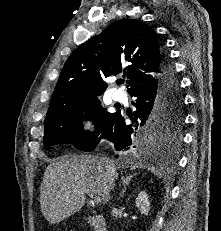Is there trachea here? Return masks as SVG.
I'll use <instances>...</instances> for the list:
<instances>
[{"instance_id": "3493384b", "label": "trachea", "mask_w": 221, "mask_h": 231, "mask_svg": "<svg viewBox=\"0 0 221 231\" xmlns=\"http://www.w3.org/2000/svg\"><path fill=\"white\" fill-rule=\"evenodd\" d=\"M124 82V80H119V83H123Z\"/></svg>"}]
</instances>
